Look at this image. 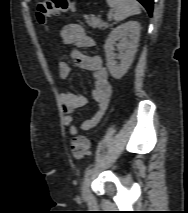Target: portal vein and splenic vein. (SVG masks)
<instances>
[{"label":"portal vein and splenic vein","mask_w":188,"mask_h":213,"mask_svg":"<svg viewBox=\"0 0 188 213\" xmlns=\"http://www.w3.org/2000/svg\"><path fill=\"white\" fill-rule=\"evenodd\" d=\"M110 17H111V14L108 15V18H110Z\"/></svg>","instance_id":"obj_1"}]
</instances>
